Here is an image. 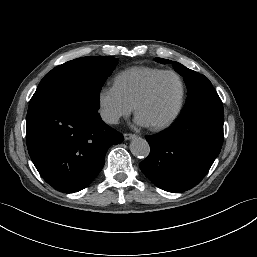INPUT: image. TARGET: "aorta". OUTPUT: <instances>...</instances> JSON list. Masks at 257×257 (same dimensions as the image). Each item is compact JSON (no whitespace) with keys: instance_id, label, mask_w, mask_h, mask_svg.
<instances>
[{"instance_id":"1","label":"aorta","mask_w":257,"mask_h":257,"mask_svg":"<svg viewBox=\"0 0 257 257\" xmlns=\"http://www.w3.org/2000/svg\"><path fill=\"white\" fill-rule=\"evenodd\" d=\"M130 151L137 158H146L150 152V146L145 139L134 138L130 143Z\"/></svg>"}]
</instances>
